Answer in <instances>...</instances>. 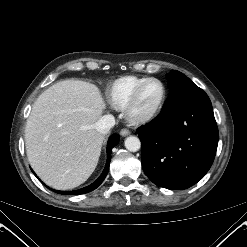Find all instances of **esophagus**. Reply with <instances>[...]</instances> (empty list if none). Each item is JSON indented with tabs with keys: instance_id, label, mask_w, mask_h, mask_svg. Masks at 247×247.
I'll return each instance as SVG.
<instances>
[{
	"instance_id": "obj_1",
	"label": "esophagus",
	"mask_w": 247,
	"mask_h": 247,
	"mask_svg": "<svg viewBox=\"0 0 247 247\" xmlns=\"http://www.w3.org/2000/svg\"><path fill=\"white\" fill-rule=\"evenodd\" d=\"M120 134L122 135V136H127V135H129L130 134V131L128 130V129H122L121 131H120Z\"/></svg>"
}]
</instances>
